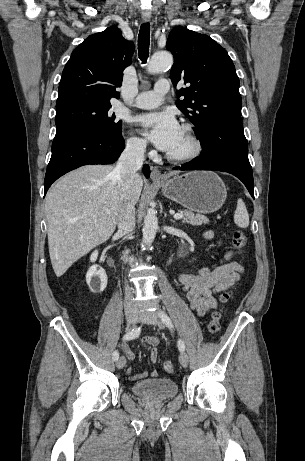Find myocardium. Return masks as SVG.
Instances as JSON below:
<instances>
[{
  "label": "myocardium",
  "mask_w": 305,
  "mask_h": 461,
  "mask_svg": "<svg viewBox=\"0 0 305 461\" xmlns=\"http://www.w3.org/2000/svg\"><path fill=\"white\" fill-rule=\"evenodd\" d=\"M181 129L187 134L191 142V149L190 151L182 155H173L170 153H166V158L171 162L183 163L192 161L195 158H197L203 150L202 141L190 124H183Z\"/></svg>",
  "instance_id": "obj_1"
}]
</instances>
